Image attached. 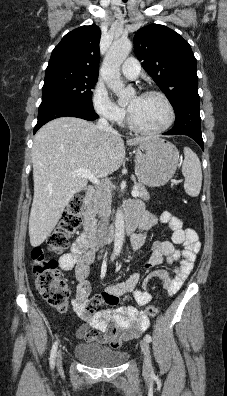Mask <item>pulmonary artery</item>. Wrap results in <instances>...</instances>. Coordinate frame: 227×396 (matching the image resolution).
<instances>
[{
    "label": "pulmonary artery",
    "instance_id": "e3ab8cb5",
    "mask_svg": "<svg viewBox=\"0 0 227 396\" xmlns=\"http://www.w3.org/2000/svg\"><path fill=\"white\" fill-rule=\"evenodd\" d=\"M140 70H141L140 63L136 58L133 57L127 58L121 67L122 74L129 79L137 78L140 73Z\"/></svg>",
    "mask_w": 227,
    "mask_h": 396
}]
</instances>
